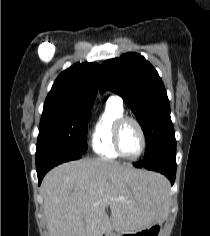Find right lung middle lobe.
Returning <instances> with one entry per match:
<instances>
[{
    "label": "right lung middle lobe",
    "mask_w": 210,
    "mask_h": 236,
    "mask_svg": "<svg viewBox=\"0 0 210 236\" xmlns=\"http://www.w3.org/2000/svg\"><path fill=\"white\" fill-rule=\"evenodd\" d=\"M90 110L68 104L44 105L36 152L60 149L84 154Z\"/></svg>",
    "instance_id": "dd1d6c3e"
}]
</instances>
